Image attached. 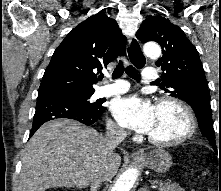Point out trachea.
Instances as JSON below:
<instances>
[{
  "label": "trachea",
  "mask_w": 221,
  "mask_h": 191,
  "mask_svg": "<svg viewBox=\"0 0 221 191\" xmlns=\"http://www.w3.org/2000/svg\"><path fill=\"white\" fill-rule=\"evenodd\" d=\"M124 72H126V74L130 78H132L134 80H140V75L138 74L136 69L131 65L127 66V67H124L122 61H119L118 65L116 66L115 70L113 71V73H112L113 79L120 78ZM102 79H103V76H101L99 78V80H102Z\"/></svg>",
  "instance_id": "trachea-1"
}]
</instances>
